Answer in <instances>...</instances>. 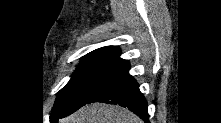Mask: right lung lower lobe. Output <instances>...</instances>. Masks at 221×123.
<instances>
[{
    "instance_id": "98d812e1",
    "label": "right lung lower lobe",
    "mask_w": 221,
    "mask_h": 123,
    "mask_svg": "<svg viewBox=\"0 0 221 123\" xmlns=\"http://www.w3.org/2000/svg\"><path fill=\"white\" fill-rule=\"evenodd\" d=\"M129 63L105 79L92 93L88 103L103 102L127 107L148 123L147 102L139 90L134 78L129 75ZM63 114H51V120L65 117Z\"/></svg>"
}]
</instances>
